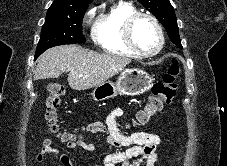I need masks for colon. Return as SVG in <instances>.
<instances>
[{
  "label": "colon",
  "instance_id": "colon-1",
  "mask_svg": "<svg viewBox=\"0 0 227 166\" xmlns=\"http://www.w3.org/2000/svg\"><path fill=\"white\" fill-rule=\"evenodd\" d=\"M179 74V67L174 62L168 72L163 76L162 81L155 83L151 95L142 108L135 115V122L138 124L147 123L151 117L160 113L165 105L174 101L177 95L176 78ZM48 96L46 100L45 120L53 132L66 144L71 145L80 141V137L70 133L58 131V109L61 104V97L65 94V86L60 82L48 84Z\"/></svg>",
  "mask_w": 227,
  "mask_h": 166
}]
</instances>
